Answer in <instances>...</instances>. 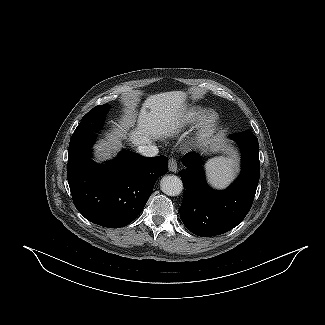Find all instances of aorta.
<instances>
[{
  "label": "aorta",
  "instance_id": "762f6f07",
  "mask_svg": "<svg viewBox=\"0 0 325 325\" xmlns=\"http://www.w3.org/2000/svg\"><path fill=\"white\" fill-rule=\"evenodd\" d=\"M160 188L168 196H177L182 192L183 184L179 177L166 175L160 181Z\"/></svg>",
  "mask_w": 325,
  "mask_h": 325
}]
</instances>
